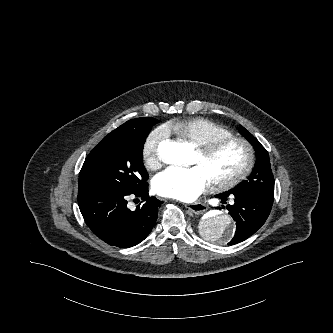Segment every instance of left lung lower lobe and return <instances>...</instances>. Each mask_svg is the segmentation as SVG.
I'll return each mask as SVG.
<instances>
[{
    "label": "left lung lower lobe",
    "mask_w": 333,
    "mask_h": 333,
    "mask_svg": "<svg viewBox=\"0 0 333 333\" xmlns=\"http://www.w3.org/2000/svg\"><path fill=\"white\" fill-rule=\"evenodd\" d=\"M234 197V205H228L230 215L236 222V232L228 243L234 245L253 235L266 221L273 204V199L252 192H224L216 197L226 201L227 197Z\"/></svg>",
    "instance_id": "left-lung-lower-lobe-1"
}]
</instances>
